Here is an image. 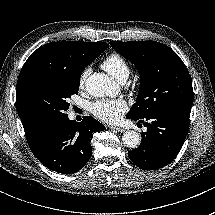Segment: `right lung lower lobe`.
Listing matches in <instances>:
<instances>
[{
    "label": "right lung lower lobe",
    "mask_w": 215,
    "mask_h": 215,
    "mask_svg": "<svg viewBox=\"0 0 215 215\" xmlns=\"http://www.w3.org/2000/svg\"><path fill=\"white\" fill-rule=\"evenodd\" d=\"M103 124L92 117L83 121L63 119L46 123L40 127L28 145L37 159L48 169L62 174L80 170L89 160L92 133L104 130Z\"/></svg>",
    "instance_id": "98d812e1"
}]
</instances>
